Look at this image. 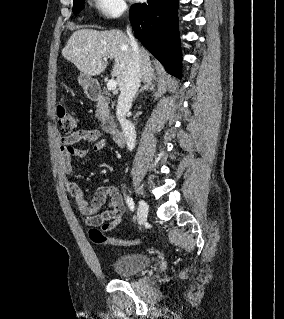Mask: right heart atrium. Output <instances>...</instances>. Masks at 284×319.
<instances>
[{"label":"right heart atrium","instance_id":"obj_1","mask_svg":"<svg viewBox=\"0 0 284 319\" xmlns=\"http://www.w3.org/2000/svg\"><path fill=\"white\" fill-rule=\"evenodd\" d=\"M91 3L96 12L106 20L119 18L128 10L125 0H91Z\"/></svg>","mask_w":284,"mask_h":319}]
</instances>
